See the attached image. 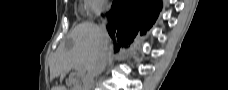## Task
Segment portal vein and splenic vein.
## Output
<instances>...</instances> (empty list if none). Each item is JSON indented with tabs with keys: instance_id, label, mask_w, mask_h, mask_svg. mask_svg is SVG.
Listing matches in <instances>:
<instances>
[{
	"instance_id": "18ae733b",
	"label": "portal vein and splenic vein",
	"mask_w": 228,
	"mask_h": 90,
	"mask_svg": "<svg viewBox=\"0 0 228 90\" xmlns=\"http://www.w3.org/2000/svg\"><path fill=\"white\" fill-rule=\"evenodd\" d=\"M75 69L77 70L79 77L84 76L85 72L83 70H81V68L75 67Z\"/></svg>"
}]
</instances>
